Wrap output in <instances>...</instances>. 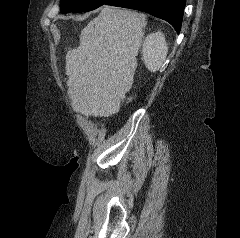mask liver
<instances>
[{
	"mask_svg": "<svg viewBox=\"0 0 240 238\" xmlns=\"http://www.w3.org/2000/svg\"><path fill=\"white\" fill-rule=\"evenodd\" d=\"M146 18L134 11L103 6L81 31L78 48L66 54L68 95L75 112L109 117L131 89Z\"/></svg>",
	"mask_w": 240,
	"mask_h": 238,
	"instance_id": "obj_1",
	"label": "liver"
}]
</instances>
